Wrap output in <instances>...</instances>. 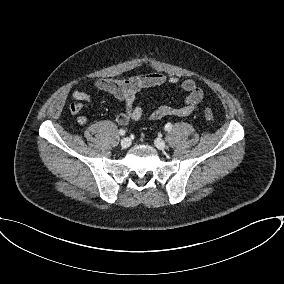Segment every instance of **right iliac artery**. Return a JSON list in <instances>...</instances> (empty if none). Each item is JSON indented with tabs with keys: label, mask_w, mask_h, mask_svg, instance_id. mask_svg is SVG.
<instances>
[{
	"label": "right iliac artery",
	"mask_w": 284,
	"mask_h": 284,
	"mask_svg": "<svg viewBox=\"0 0 284 284\" xmlns=\"http://www.w3.org/2000/svg\"><path fill=\"white\" fill-rule=\"evenodd\" d=\"M119 134L123 136V135L125 134V130L120 129V130H119Z\"/></svg>",
	"instance_id": "obj_1"
}]
</instances>
